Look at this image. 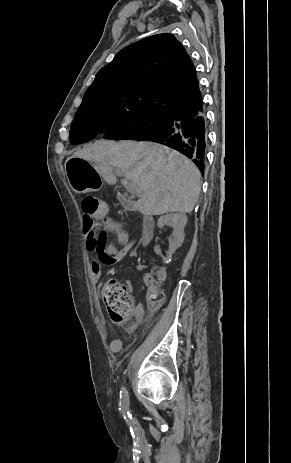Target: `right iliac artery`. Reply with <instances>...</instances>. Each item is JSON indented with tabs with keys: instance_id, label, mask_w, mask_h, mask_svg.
<instances>
[{
	"instance_id": "obj_1",
	"label": "right iliac artery",
	"mask_w": 291,
	"mask_h": 463,
	"mask_svg": "<svg viewBox=\"0 0 291 463\" xmlns=\"http://www.w3.org/2000/svg\"><path fill=\"white\" fill-rule=\"evenodd\" d=\"M124 418L128 422L129 425H133V420L132 416L129 413V397H128V392L126 389L123 387L122 390L120 391V408Z\"/></svg>"
}]
</instances>
